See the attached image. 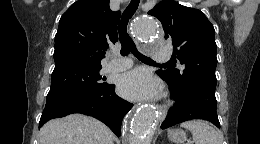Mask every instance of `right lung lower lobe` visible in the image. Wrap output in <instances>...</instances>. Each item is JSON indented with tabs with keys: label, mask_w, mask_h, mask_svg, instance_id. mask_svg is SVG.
<instances>
[{
	"label": "right lung lower lobe",
	"mask_w": 260,
	"mask_h": 144,
	"mask_svg": "<svg viewBox=\"0 0 260 144\" xmlns=\"http://www.w3.org/2000/svg\"><path fill=\"white\" fill-rule=\"evenodd\" d=\"M132 106L133 104L115 94L113 84L97 92H63L47 95L39 128L53 118L81 113L102 121L119 137L122 120Z\"/></svg>",
	"instance_id": "1"
}]
</instances>
